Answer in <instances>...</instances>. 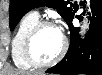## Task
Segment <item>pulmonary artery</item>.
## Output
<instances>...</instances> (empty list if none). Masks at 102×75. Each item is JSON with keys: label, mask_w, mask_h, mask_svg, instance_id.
Instances as JSON below:
<instances>
[{"label": "pulmonary artery", "mask_w": 102, "mask_h": 75, "mask_svg": "<svg viewBox=\"0 0 102 75\" xmlns=\"http://www.w3.org/2000/svg\"><path fill=\"white\" fill-rule=\"evenodd\" d=\"M37 15H39V12L36 10V11H34Z\"/></svg>", "instance_id": "e3ab8cb5"}]
</instances>
